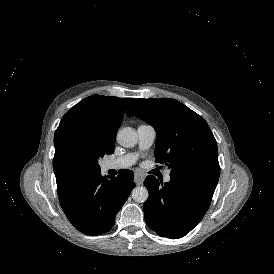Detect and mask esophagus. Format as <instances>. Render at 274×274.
I'll return each mask as SVG.
<instances>
[{
	"label": "esophagus",
	"mask_w": 274,
	"mask_h": 274,
	"mask_svg": "<svg viewBox=\"0 0 274 274\" xmlns=\"http://www.w3.org/2000/svg\"><path fill=\"white\" fill-rule=\"evenodd\" d=\"M144 181V177L142 174L140 173H135V176H134V182L137 184V185H141Z\"/></svg>",
	"instance_id": "esophagus-1"
}]
</instances>
